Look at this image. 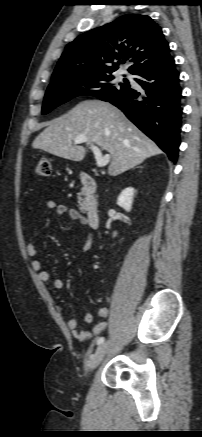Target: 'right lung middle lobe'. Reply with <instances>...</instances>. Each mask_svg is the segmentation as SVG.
<instances>
[{"mask_svg":"<svg viewBox=\"0 0 202 437\" xmlns=\"http://www.w3.org/2000/svg\"><path fill=\"white\" fill-rule=\"evenodd\" d=\"M113 78L112 74H103L52 82L45 94L42 114H47L57 106L80 95H91L106 101L130 88L127 79H124V83H115Z\"/></svg>","mask_w":202,"mask_h":437,"instance_id":"dd1d6c3e","label":"right lung middle lobe"}]
</instances>
